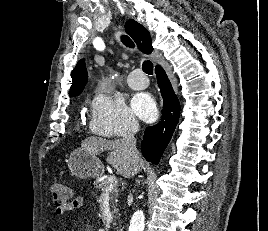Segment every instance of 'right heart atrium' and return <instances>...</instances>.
Returning a JSON list of instances; mask_svg holds the SVG:
<instances>
[{
	"label": "right heart atrium",
	"instance_id": "right-heart-atrium-1",
	"mask_svg": "<svg viewBox=\"0 0 268 231\" xmlns=\"http://www.w3.org/2000/svg\"><path fill=\"white\" fill-rule=\"evenodd\" d=\"M90 130L105 138L129 137L137 121L124 100L114 93L96 92L89 103Z\"/></svg>",
	"mask_w": 268,
	"mask_h": 231
}]
</instances>
